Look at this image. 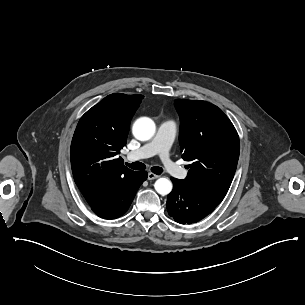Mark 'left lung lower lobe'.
Segmentation results:
<instances>
[{
  "instance_id": "0a47b994",
  "label": "left lung lower lobe",
  "mask_w": 305,
  "mask_h": 305,
  "mask_svg": "<svg viewBox=\"0 0 305 305\" xmlns=\"http://www.w3.org/2000/svg\"><path fill=\"white\" fill-rule=\"evenodd\" d=\"M173 190L167 196V210L181 224H192L210 214L223 200V196L197 191L184 180L171 178Z\"/></svg>"
}]
</instances>
